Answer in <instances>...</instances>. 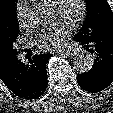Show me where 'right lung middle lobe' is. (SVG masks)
<instances>
[{"instance_id":"obj_1","label":"right lung middle lobe","mask_w":113,"mask_h":113,"mask_svg":"<svg viewBox=\"0 0 113 113\" xmlns=\"http://www.w3.org/2000/svg\"><path fill=\"white\" fill-rule=\"evenodd\" d=\"M18 34H19V28L16 20V13L13 12L10 19V23L8 25L7 36L5 39L7 52L12 58H15L17 55V49L15 46H16V39L18 37Z\"/></svg>"}]
</instances>
